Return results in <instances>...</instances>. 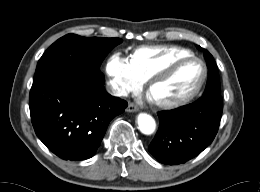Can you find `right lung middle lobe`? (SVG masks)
Returning a JSON list of instances; mask_svg holds the SVG:
<instances>
[{
    "instance_id": "dd1d6c3e",
    "label": "right lung middle lobe",
    "mask_w": 260,
    "mask_h": 192,
    "mask_svg": "<svg viewBox=\"0 0 260 192\" xmlns=\"http://www.w3.org/2000/svg\"><path fill=\"white\" fill-rule=\"evenodd\" d=\"M122 42L119 38H85L67 34L54 42L40 58L34 80L63 65L100 70L106 55Z\"/></svg>"
}]
</instances>
